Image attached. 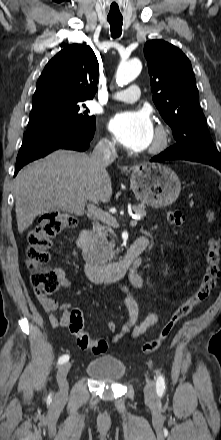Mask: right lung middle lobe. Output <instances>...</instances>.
<instances>
[{
    "label": "right lung middle lobe",
    "mask_w": 221,
    "mask_h": 440,
    "mask_svg": "<svg viewBox=\"0 0 221 440\" xmlns=\"http://www.w3.org/2000/svg\"><path fill=\"white\" fill-rule=\"evenodd\" d=\"M82 103H48L32 108L28 130L39 127H57L85 133L96 129V119Z\"/></svg>",
    "instance_id": "1"
}]
</instances>
